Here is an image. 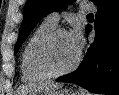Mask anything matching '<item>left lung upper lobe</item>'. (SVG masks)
<instances>
[{
	"label": "left lung upper lobe",
	"instance_id": "5c2ea615",
	"mask_svg": "<svg viewBox=\"0 0 119 95\" xmlns=\"http://www.w3.org/2000/svg\"><path fill=\"white\" fill-rule=\"evenodd\" d=\"M74 0H28L24 8V19L20 27L19 38L15 45V54L38 22L51 12L62 11ZM96 5L102 0H91Z\"/></svg>",
	"mask_w": 119,
	"mask_h": 95
}]
</instances>
